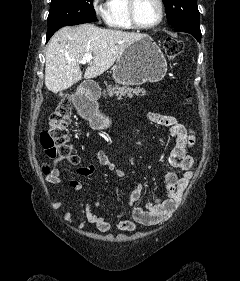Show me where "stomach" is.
Returning a JSON list of instances; mask_svg holds the SVG:
<instances>
[{"label": "stomach", "instance_id": "0dacf381", "mask_svg": "<svg viewBox=\"0 0 240 281\" xmlns=\"http://www.w3.org/2000/svg\"><path fill=\"white\" fill-rule=\"evenodd\" d=\"M167 72L166 60L155 41L148 35L129 45L113 67L114 80L122 85L158 82ZM94 128L108 127L111 121L103 116L97 105L89 103L83 111Z\"/></svg>", "mask_w": 240, "mask_h": 281}]
</instances>
